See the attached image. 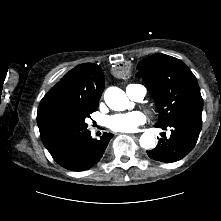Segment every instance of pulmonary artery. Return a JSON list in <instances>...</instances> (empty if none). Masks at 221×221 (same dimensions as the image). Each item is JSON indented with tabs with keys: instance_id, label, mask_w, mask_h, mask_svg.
<instances>
[{
	"instance_id": "1",
	"label": "pulmonary artery",
	"mask_w": 221,
	"mask_h": 221,
	"mask_svg": "<svg viewBox=\"0 0 221 221\" xmlns=\"http://www.w3.org/2000/svg\"><path fill=\"white\" fill-rule=\"evenodd\" d=\"M126 93L131 99L141 101L146 94V89L140 84H130L126 88Z\"/></svg>"
}]
</instances>
